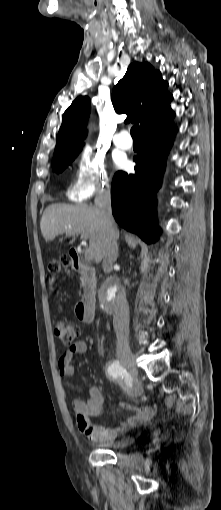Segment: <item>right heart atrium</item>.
I'll list each match as a JSON object with an SVG mask.
<instances>
[{"label":"right heart atrium","mask_w":221,"mask_h":510,"mask_svg":"<svg viewBox=\"0 0 221 510\" xmlns=\"http://www.w3.org/2000/svg\"><path fill=\"white\" fill-rule=\"evenodd\" d=\"M108 187L109 179L103 156L88 147L83 148L69 181L68 196L76 201H84Z\"/></svg>","instance_id":"right-heart-atrium-1"}]
</instances>
